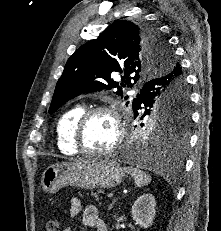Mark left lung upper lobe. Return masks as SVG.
Listing matches in <instances>:
<instances>
[{
  "instance_id": "1",
  "label": "left lung upper lobe",
  "mask_w": 221,
  "mask_h": 231,
  "mask_svg": "<svg viewBox=\"0 0 221 231\" xmlns=\"http://www.w3.org/2000/svg\"><path fill=\"white\" fill-rule=\"evenodd\" d=\"M172 55L166 39L156 27L136 25L125 20L116 21L97 39L78 48L68 59L57 82L49 112H55L66 101L83 92L117 88L116 94L122 96V87L133 86L131 79L136 82L140 75L148 76L151 73L159 76L176 67L180 68L178 62L172 61ZM114 72H124L120 86L111 79ZM175 98L184 99L185 105L172 104ZM188 104L187 91L177 87L171 94L155 96L139 105L133 100L132 108L136 117L142 114L140 119L150 116L155 120L150 137L155 135L162 138L168 134V138L176 139L186 136Z\"/></svg>"
}]
</instances>
